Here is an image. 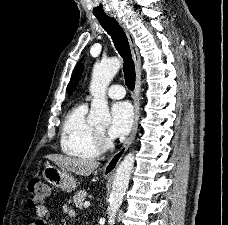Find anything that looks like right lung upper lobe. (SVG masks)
I'll list each match as a JSON object with an SVG mask.
<instances>
[{
    "instance_id": "cb5924a9",
    "label": "right lung upper lobe",
    "mask_w": 228,
    "mask_h": 225,
    "mask_svg": "<svg viewBox=\"0 0 228 225\" xmlns=\"http://www.w3.org/2000/svg\"><path fill=\"white\" fill-rule=\"evenodd\" d=\"M82 71H83V65H81V66L79 67V69H78L77 78H76V81H75V83H74V85H73L71 91H70V94L72 93L73 89L76 87L78 81L80 80Z\"/></svg>"
}]
</instances>
